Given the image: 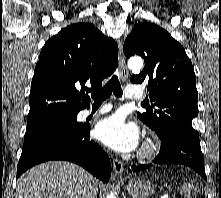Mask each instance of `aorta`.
Listing matches in <instances>:
<instances>
[{
    "mask_svg": "<svg viewBox=\"0 0 221 198\" xmlns=\"http://www.w3.org/2000/svg\"><path fill=\"white\" fill-rule=\"evenodd\" d=\"M143 66V60L140 57H133L128 61V67L132 71H140ZM107 198H116L114 193L108 194Z\"/></svg>",
    "mask_w": 221,
    "mask_h": 198,
    "instance_id": "762f6f07",
    "label": "aorta"
}]
</instances>
